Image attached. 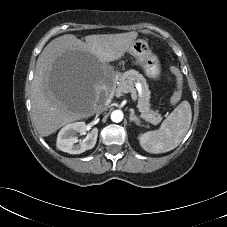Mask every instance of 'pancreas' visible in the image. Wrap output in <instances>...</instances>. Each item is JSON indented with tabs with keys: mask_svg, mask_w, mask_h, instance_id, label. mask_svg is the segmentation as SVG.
I'll list each match as a JSON object with an SVG mask.
<instances>
[{
	"mask_svg": "<svg viewBox=\"0 0 227 227\" xmlns=\"http://www.w3.org/2000/svg\"><path fill=\"white\" fill-rule=\"evenodd\" d=\"M115 81L118 82L113 92L116 96L122 95V92L120 90L121 88L134 87L135 82L140 83L141 93L138 97L137 108L141 113V118L154 125L161 122V115L157 111H153L150 109L149 99L151 92L149 90L146 79L142 74L132 69L124 72L123 74L117 75Z\"/></svg>",
	"mask_w": 227,
	"mask_h": 227,
	"instance_id": "pancreas-1",
	"label": "pancreas"
}]
</instances>
